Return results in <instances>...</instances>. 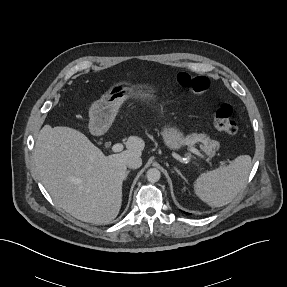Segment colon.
I'll use <instances>...</instances> for the list:
<instances>
[{
	"label": "colon",
	"instance_id": "1",
	"mask_svg": "<svg viewBox=\"0 0 287 287\" xmlns=\"http://www.w3.org/2000/svg\"><path fill=\"white\" fill-rule=\"evenodd\" d=\"M179 86L186 88L197 95H204L209 90V80L204 75H190L179 73L176 77ZM232 110L223 105L216 109L212 115L213 125L218 131L234 135L238 132L236 122L231 118Z\"/></svg>",
	"mask_w": 287,
	"mask_h": 287
}]
</instances>
